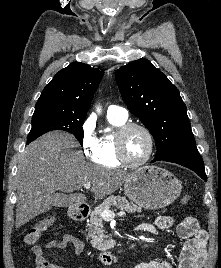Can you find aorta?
<instances>
[{
  "label": "aorta",
  "instance_id": "aorta-1",
  "mask_svg": "<svg viewBox=\"0 0 221 268\" xmlns=\"http://www.w3.org/2000/svg\"><path fill=\"white\" fill-rule=\"evenodd\" d=\"M97 111L100 112V108L99 107L97 108Z\"/></svg>",
  "mask_w": 221,
  "mask_h": 268
}]
</instances>
